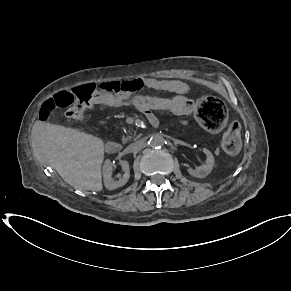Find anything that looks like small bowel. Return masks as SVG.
<instances>
[{"label":"small bowel","mask_w":291,"mask_h":291,"mask_svg":"<svg viewBox=\"0 0 291 291\" xmlns=\"http://www.w3.org/2000/svg\"><path fill=\"white\" fill-rule=\"evenodd\" d=\"M124 84L128 87L126 91L122 94L118 95L119 97L123 94H128L131 96L133 101V95L140 91L143 88H149L158 91H167L175 93V96H187L188 93V85L182 81L178 80H163V79H155V78H133L127 81H124ZM136 101V99H135ZM109 106L108 101L103 102L101 104V108H105ZM110 107V106H109ZM119 107H122L121 105ZM141 108V107H140ZM142 110V108H141ZM153 110H156L153 107ZM164 112L172 113L169 109ZM151 121H154V116L152 112H143ZM190 115V114H189Z\"/></svg>","instance_id":"obj_1"}]
</instances>
